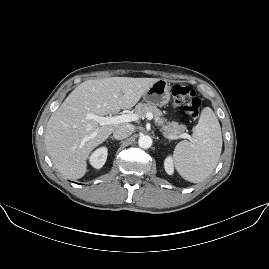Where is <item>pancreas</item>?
I'll return each instance as SVG.
<instances>
[{"label":"pancreas","instance_id":"obj_1","mask_svg":"<svg viewBox=\"0 0 269 269\" xmlns=\"http://www.w3.org/2000/svg\"><path fill=\"white\" fill-rule=\"evenodd\" d=\"M135 112L139 115V118L145 117L148 112H151L154 115L155 122L159 126H162L161 131L164 136L178 135L186 129L185 125L178 124L177 122H168L165 124V119L162 118V111L156 106L139 103L135 107Z\"/></svg>","mask_w":269,"mask_h":269}]
</instances>
